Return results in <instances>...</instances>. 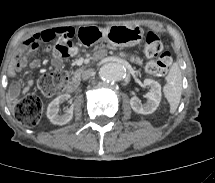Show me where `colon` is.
I'll return each instance as SVG.
<instances>
[{
    "label": "colon",
    "mask_w": 215,
    "mask_h": 183,
    "mask_svg": "<svg viewBox=\"0 0 215 183\" xmlns=\"http://www.w3.org/2000/svg\"><path fill=\"white\" fill-rule=\"evenodd\" d=\"M74 33L72 31L62 32L55 36L57 41L54 45L53 54L57 57L68 58L78 52V47L73 42ZM41 47V42L35 40L29 45L28 53L34 55ZM144 53L152 58L147 64V71L153 75L165 74L172 64V55L168 51H163L162 42L154 32H148L144 40ZM67 85V77L63 71L45 73L38 82L40 91L47 96H52L62 92ZM15 118L24 126H35L42 115V100L33 94L26 95L14 102Z\"/></svg>",
    "instance_id": "colon-1"
}]
</instances>
